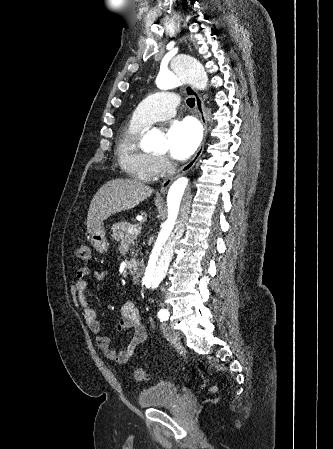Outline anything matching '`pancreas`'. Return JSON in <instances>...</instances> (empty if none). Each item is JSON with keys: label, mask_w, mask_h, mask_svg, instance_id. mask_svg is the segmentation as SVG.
Instances as JSON below:
<instances>
[{"label": "pancreas", "mask_w": 333, "mask_h": 449, "mask_svg": "<svg viewBox=\"0 0 333 449\" xmlns=\"http://www.w3.org/2000/svg\"><path fill=\"white\" fill-rule=\"evenodd\" d=\"M132 226L133 225L130 224L129 222H123V221L114 224L112 227L113 240L119 241V242H121V244H123V243H127L128 245L134 244V241L136 240L138 234H131L129 232V228H131ZM137 228H139V227H137ZM135 255L137 256V254H135Z\"/></svg>", "instance_id": "cf45deb5"}]
</instances>
